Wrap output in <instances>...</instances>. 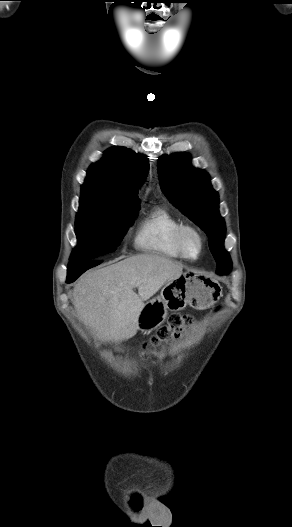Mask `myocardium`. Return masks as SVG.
<instances>
[{
    "instance_id": "1",
    "label": "myocardium",
    "mask_w": 292,
    "mask_h": 527,
    "mask_svg": "<svg viewBox=\"0 0 292 527\" xmlns=\"http://www.w3.org/2000/svg\"><path fill=\"white\" fill-rule=\"evenodd\" d=\"M188 234L195 235L199 241V250L195 256H191L186 250L185 240ZM175 242H176V246L182 258L189 260V261L198 260L202 256L204 249H205V236L203 232L199 228L191 224H182L178 228L176 235H175Z\"/></svg>"
}]
</instances>
